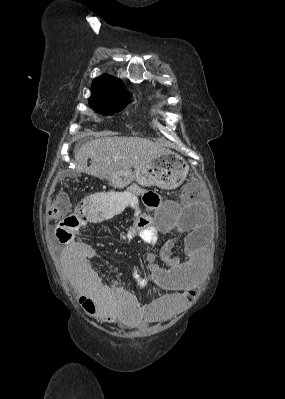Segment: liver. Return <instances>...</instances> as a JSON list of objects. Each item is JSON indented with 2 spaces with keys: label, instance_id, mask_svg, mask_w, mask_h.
I'll use <instances>...</instances> for the list:
<instances>
[{
  "label": "liver",
  "instance_id": "1",
  "mask_svg": "<svg viewBox=\"0 0 285 399\" xmlns=\"http://www.w3.org/2000/svg\"><path fill=\"white\" fill-rule=\"evenodd\" d=\"M165 151L164 146L146 138L102 137L86 142L75 151V170L94 177L117 176Z\"/></svg>",
  "mask_w": 285,
  "mask_h": 399
}]
</instances>
